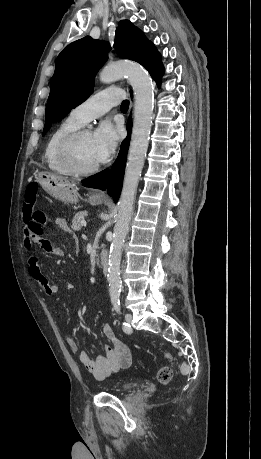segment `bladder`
I'll return each instance as SVG.
<instances>
[{
	"instance_id": "bladder-1",
	"label": "bladder",
	"mask_w": 261,
	"mask_h": 459,
	"mask_svg": "<svg viewBox=\"0 0 261 459\" xmlns=\"http://www.w3.org/2000/svg\"><path fill=\"white\" fill-rule=\"evenodd\" d=\"M135 389V384L133 383H123L115 385L112 390L120 392H130Z\"/></svg>"
}]
</instances>
